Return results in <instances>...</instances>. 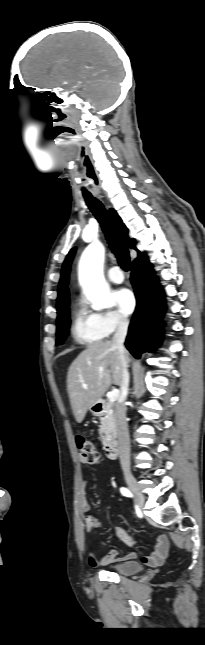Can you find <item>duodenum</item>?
<instances>
[{
	"label": "duodenum",
	"instance_id": "1",
	"mask_svg": "<svg viewBox=\"0 0 205 645\" xmlns=\"http://www.w3.org/2000/svg\"><path fill=\"white\" fill-rule=\"evenodd\" d=\"M104 404L103 403H98L96 405V411L98 413H101L104 410ZM119 448H118V442L115 439L109 440L105 444V453L106 456L109 459H115L118 455Z\"/></svg>",
	"mask_w": 205,
	"mask_h": 645
}]
</instances>
